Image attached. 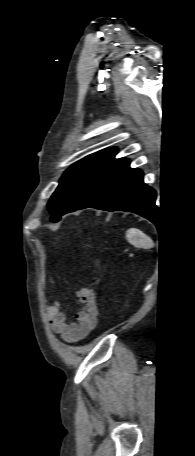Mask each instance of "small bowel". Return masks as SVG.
Returning <instances> with one entry per match:
<instances>
[{"mask_svg":"<svg viewBox=\"0 0 195 456\" xmlns=\"http://www.w3.org/2000/svg\"><path fill=\"white\" fill-rule=\"evenodd\" d=\"M81 309L75 315V321H69L61 311V303L50 304L47 298L43 299L46 317L52 331L63 341L77 342L86 337L96 326L97 306L94 291L88 288L76 292Z\"/></svg>","mask_w":195,"mask_h":456,"instance_id":"c3829d8e","label":"small bowel"}]
</instances>
